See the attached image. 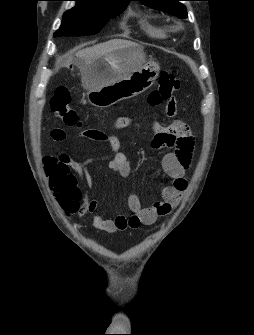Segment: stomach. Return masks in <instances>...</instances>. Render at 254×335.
I'll return each instance as SVG.
<instances>
[{
  "label": "stomach",
  "instance_id": "obj_1",
  "mask_svg": "<svg viewBox=\"0 0 254 335\" xmlns=\"http://www.w3.org/2000/svg\"><path fill=\"white\" fill-rule=\"evenodd\" d=\"M160 67L144 61L141 46H129L97 59L85 74L87 99L95 107L106 108L135 97L150 88Z\"/></svg>",
  "mask_w": 254,
  "mask_h": 335
}]
</instances>
